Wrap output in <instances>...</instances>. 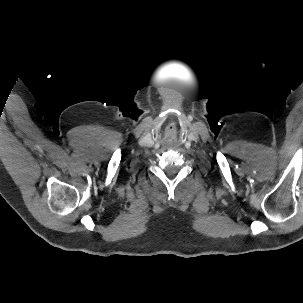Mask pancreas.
Instances as JSON below:
<instances>
[{
  "label": "pancreas",
  "instance_id": "obj_1",
  "mask_svg": "<svg viewBox=\"0 0 303 303\" xmlns=\"http://www.w3.org/2000/svg\"><path fill=\"white\" fill-rule=\"evenodd\" d=\"M28 136H30L31 138H36V136H34L32 133H28ZM41 143H44L43 141H40Z\"/></svg>",
  "mask_w": 303,
  "mask_h": 303
}]
</instances>
